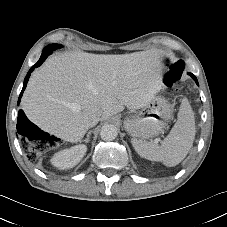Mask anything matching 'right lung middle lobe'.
Instances as JSON below:
<instances>
[{"instance_id":"1","label":"right lung middle lobe","mask_w":227,"mask_h":227,"mask_svg":"<svg viewBox=\"0 0 227 227\" xmlns=\"http://www.w3.org/2000/svg\"><path fill=\"white\" fill-rule=\"evenodd\" d=\"M48 46H52L54 50L61 48V44H52V45H48Z\"/></svg>"}]
</instances>
